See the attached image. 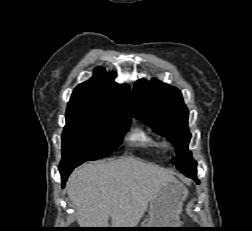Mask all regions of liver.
<instances>
[{
	"label": "liver",
	"instance_id": "obj_1",
	"mask_svg": "<svg viewBox=\"0 0 252 231\" xmlns=\"http://www.w3.org/2000/svg\"><path fill=\"white\" fill-rule=\"evenodd\" d=\"M166 169L134 158L86 163L70 175L67 194L82 228H134L162 185L174 180Z\"/></svg>",
	"mask_w": 252,
	"mask_h": 231
}]
</instances>
